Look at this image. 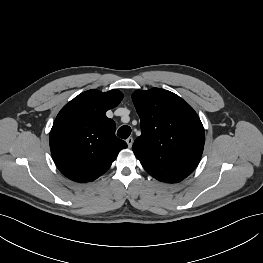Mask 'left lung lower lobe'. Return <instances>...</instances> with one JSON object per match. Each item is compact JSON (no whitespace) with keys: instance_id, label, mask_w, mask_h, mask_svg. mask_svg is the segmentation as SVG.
I'll return each mask as SVG.
<instances>
[{"instance_id":"0a47b994","label":"left lung lower lobe","mask_w":263,"mask_h":263,"mask_svg":"<svg viewBox=\"0 0 263 263\" xmlns=\"http://www.w3.org/2000/svg\"><path fill=\"white\" fill-rule=\"evenodd\" d=\"M187 176H188L187 174L179 170H176L173 168H167L156 179L162 182L176 183V182L182 181Z\"/></svg>"}]
</instances>
